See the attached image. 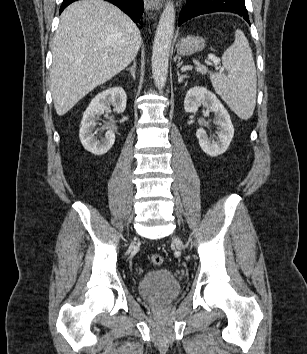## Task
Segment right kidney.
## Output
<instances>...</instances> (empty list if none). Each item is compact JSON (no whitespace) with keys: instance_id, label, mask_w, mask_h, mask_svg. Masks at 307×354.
I'll list each match as a JSON object with an SVG mask.
<instances>
[{"instance_id":"obj_1","label":"right kidney","mask_w":307,"mask_h":354,"mask_svg":"<svg viewBox=\"0 0 307 354\" xmlns=\"http://www.w3.org/2000/svg\"><path fill=\"white\" fill-rule=\"evenodd\" d=\"M127 96L122 87L108 88L97 94L90 102L83 114L79 137L83 147L94 155H104L115 142L113 130H108L105 137L97 139L93 130L98 124L99 117L109 110V106H114V111L122 113L126 109Z\"/></svg>"}]
</instances>
